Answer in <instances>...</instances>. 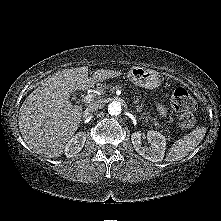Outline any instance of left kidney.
Masks as SVG:
<instances>
[{"label": "left kidney", "mask_w": 221, "mask_h": 221, "mask_svg": "<svg viewBox=\"0 0 221 221\" xmlns=\"http://www.w3.org/2000/svg\"><path fill=\"white\" fill-rule=\"evenodd\" d=\"M142 134L135 132L131 136L132 144L139 155L143 158L153 161L160 162L163 160L165 149H166V138L157 131H148L147 139L151 143V148L143 147L141 142Z\"/></svg>", "instance_id": "1"}]
</instances>
